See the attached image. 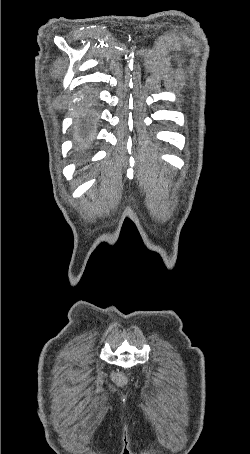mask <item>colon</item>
Segmentation results:
<instances>
[{
	"label": "colon",
	"mask_w": 250,
	"mask_h": 454,
	"mask_svg": "<svg viewBox=\"0 0 250 454\" xmlns=\"http://www.w3.org/2000/svg\"><path fill=\"white\" fill-rule=\"evenodd\" d=\"M114 380H115V382H116L117 384H119V385H123V384H125V382H126V378H125V376L122 375V374H116V375L114 376Z\"/></svg>",
	"instance_id": "colon-1"
}]
</instances>
